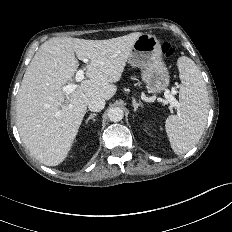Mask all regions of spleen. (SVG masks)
<instances>
[{
  "label": "spleen",
  "instance_id": "3e777b00",
  "mask_svg": "<svg viewBox=\"0 0 232 232\" xmlns=\"http://www.w3.org/2000/svg\"><path fill=\"white\" fill-rule=\"evenodd\" d=\"M182 80L179 101L181 111L166 119V132L173 151L182 155L200 140L209 110L206 84L194 61L182 56L177 61Z\"/></svg>",
  "mask_w": 232,
  "mask_h": 232
}]
</instances>
